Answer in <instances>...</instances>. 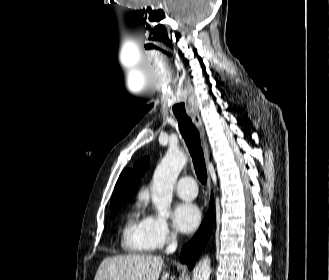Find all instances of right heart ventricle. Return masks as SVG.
<instances>
[{
    "instance_id": "1",
    "label": "right heart ventricle",
    "mask_w": 329,
    "mask_h": 280,
    "mask_svg": "<svg viewBox=\"0 0 329 280\" xmlns=\"http://www.w3.org/2000/svg\"><path fill=\"white\" fill-rule=\"evenodd\" d=\"M122 246L128 252L147 253L153 250L149 237V216L139 201L131 210L122 233Z\"/></svg>"
}]
</instances>
